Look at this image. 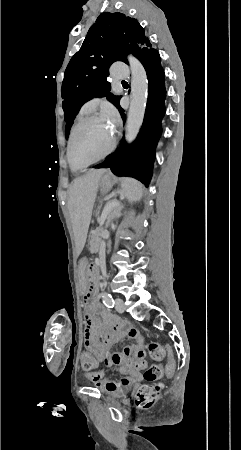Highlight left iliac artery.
Here are the masks:
<instances>
[{"label": "left iliac artery", "instance_id": "1", "mask_svg": "<svg viewBox=\"0 0 241 450\" xmlns=\"http://www.w3.org/2000/svg\"><path fill=\"white\" fill-rule=\"evenodd\" d=\"M103 303L108 307V308H113L114 307V300L112 298V295L110 293L104 292L103 293Z\"/></svg>", "mask_w": 241, "mask_h": 450}]
</instances>
